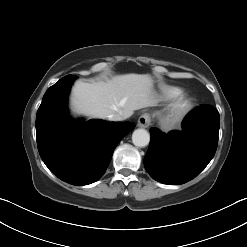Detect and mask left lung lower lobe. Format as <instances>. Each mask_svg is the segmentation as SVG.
I'll return each mask as SVG.
<instances>
[{
    "instance_id": "left-lung-lower-lobe-1",
    "label": "left lung lower lobe",
    "mask_w": 247,
    "mask_h": 247,
    "mask_svg": "<svg viewBox=\"0 0 247 247\" xmlns=\"http://www.w3.org/2000/svg\"><path fill=\"white\" fill-rule=\"evenodd\" d=\"M217 109L201 105L183 120L182 131L162 133L151 128L144 166L156 181L178 185L195 178L211 161L218 144Z\"/></svg>"
}]
</instances>
